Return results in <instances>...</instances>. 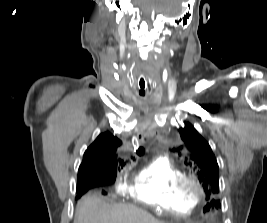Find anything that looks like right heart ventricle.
<instances>
[{
	"label": "right heart ventricle",
	"mask_w": 267,
	"mask_h": 223,
	"mask_svg": "<svg viewBox=\"0 0 267 223\" xmlns=\"http://www.w3.org/2000/svg\"><path fill=\"white\" fill-rule=\"evenodd\" d=\"M185 172L166 157H160L142 168L125 185L124 194L139 206L158 212L189 214L195 204L177 189V182Z\"/></svg>",
	"instance_id": "right-heart-ventricle-1"
}]
</instances>
